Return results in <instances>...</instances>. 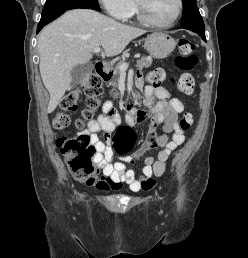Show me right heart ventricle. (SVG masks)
Returning a JSON list of instances; mask_svg holds the SVG:
<instances>
[{"label":"right heart ventricle","instance_id":"1","mask_svg":"<svg viewBox=\"0 0 248 258\" xmlns=\"http://www.w3.org/2000/svg\"><path fill=\"white\" fill-rule=\"evenodd\" d=\"M134 12H135V11H134V5H133V9H132V11H131L130 16H131V15H133V14H134Z\"/></svg>","mask_w":248,"mask_h":258}]
</instances>
